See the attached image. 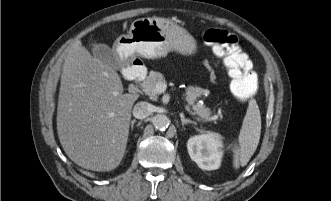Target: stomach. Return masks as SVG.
<instances>
[{"instance_id": "obj_1", "label": "stomach", "mask_w": 331, "mask_h": 201, "mask_svg": "<svg viewBox=\"0 0 331 201\" xmlns=\"http://www.w3.org/2000/svg\"><path fill=\"white\" fill-rule=\"evenodd\" d=\"M115 47L125 60L135 56L156 59L171 51L192 55L197 49L195 39L185 29L160 17L134 20L128 34L116 39Z\"/></svg>"}]
</instances>
